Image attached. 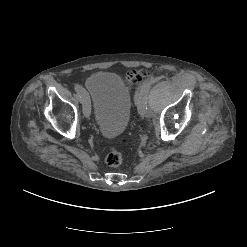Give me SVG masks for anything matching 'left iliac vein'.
Wrapping results in <instances>:
<instances>
[{
	"mask_svg": "<svg viewBox=\"0 0 247 247\" xmlns=\"http://www.w3.org/2000/svg\"><path fill=\"white\" fill-rule=\"evenodd\" d=\"M144 95H147L146 93L143 94V92H140L138 94V98H137V103H138V111L140 113L141 116H148L149 115V110L147 107H143L140 105V101H141V98L144 96Z\"/></svg>",
	"mask_w": 247,
	"mask_h": 247,
	"instance_id": "obj_1",
	"label": "left iliac vein"
}]
</instances>
